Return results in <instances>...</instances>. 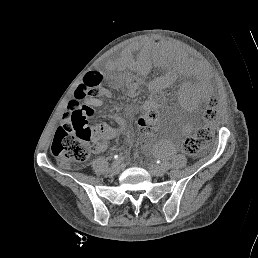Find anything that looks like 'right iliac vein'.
Instances as JSON below:
<instances>
[{"label": "right iliac vein", "instance_id": "63e3f726", "mask_svg": "<svg viewBox=\"0 0 258 258\" xmlns=\"http://www.w3.org/2000/svg\"><path fill=\"white\" fill-rule=\"evenodd\" d=\"M120 172V166L119 164H114L112 167H111V173L112 174H118Z\"/></svg>", "mask_w": 258, "mask_h": 258}]
</instances>
